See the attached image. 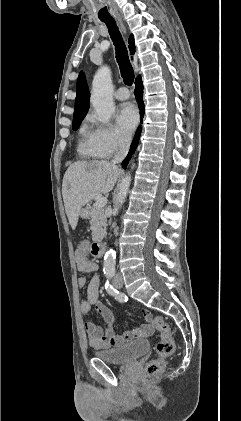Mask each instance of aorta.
<instances>
[{
    "label": "aorta",
    "instance_id": "obj_1",
    "mask_svg": "<svg viewBox=\"0 0 241 421\" xmlns=\"http://www.w3.org/2000/svg\"><path fill=\"white\" fill-rule=\"evenodd\" d=\"M113 86L111 72L108 67H101L96 72L92 82L91 102L98 115V120L107 124L115 111L112 98ZM131 184V176L127 174L121 181L117 197V208L125 202ZM116 253L113 249L106 252L104 257L105 267L115 266Z\"/></svg>",
    "mask_w": 241,
    "mask_h": 421
}]
</instances>
